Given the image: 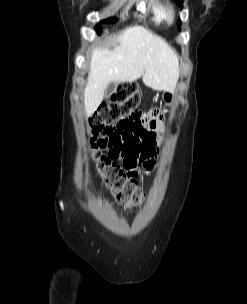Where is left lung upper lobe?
Here are the masks:
<instances>
[{
  "label": "left lung upper lobe",
  "instance_id": "obj_1",
  "mask_svg": "<svg viewBox=\"0 0 247 304\" xmlns=\"http://www.w3.org/2000/svg\"><path fill=\"white\" fill-rule=\"evenodd\" d=\"M175 1H176V3L180 6V5H182V3H183L184 0H175ZM178 24L180 25L181 22L179 21Z\"/></svg>",
  "mask_w": 247,
  "mask_h": 304
}]
</instances>
